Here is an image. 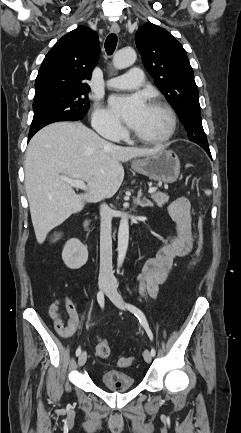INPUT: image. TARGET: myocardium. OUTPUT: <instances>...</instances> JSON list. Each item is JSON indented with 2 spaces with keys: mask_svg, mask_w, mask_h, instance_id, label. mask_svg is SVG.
I'll return each instance as SVG.
<instances>
[{
  "mask_svg": "<svg viewBox=\"0 0 241 433\" xmlns=\"http://www.w3.org/2000/svg\"><path fill=\"white\" fill-rule=\"evenodd\" d=\"M150 106L160 108L167 113L169 120H170V126H169L168 131L160 137H146V136H143V135L137 133L136 131L133 132V135L139 141L147 143V144L159 145V144L166 143L167 141H169L173 137V135L176 132L177 124H178L177 115H176L174 109L168 103H166L162 100H158V99L153 100L150 103Z\"/></svg>",
  "mask_w": 241,
  "mask_h": 433,
  "instance_id": "obj_1",
  "label": "myocardium"
}]
</instances>
